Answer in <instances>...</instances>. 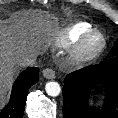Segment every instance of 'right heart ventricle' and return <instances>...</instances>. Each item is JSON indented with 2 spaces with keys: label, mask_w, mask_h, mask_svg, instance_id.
Segmentation results:
<instances>
[{
  "label": "right heart ventricle",
  "mask_w": 118,
  "mask_h": 118,
  "mask_svg": "<svg viewBox=\"0 0 118 118\" xmlns=\"http://www.w3.org/2000/svg\"><path fill=\"white\" fill-rule=\"evenodd\" d=\"M91 29H93V25L91 23L85 21L76 22L65 28L58 35L55 43L59 47H67L76 43L83 34Z\"/></svg>",
  "instance_id": "right-heart-ventricle-1"
}]
</instances>
